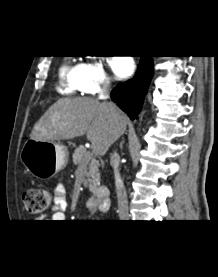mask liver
Returning a JSON list of instances; mask_svg holds the SVG:
<instances>
[{
    "mask_svg": "<svg viewBox=\"0 0 218 277\" xmlns=\"http://www.w3.org/2000/svg\"><path fill=\"white\" fill-rule=\"evenodd\" d=\"M127 117L93 98L60 99L34 125L30 139L55 142L86 134L97 155H104L126 130Z\"/></svg>",
    "mask_w": 218,
    "mask_h": 277,
    "instance_id": "obj_1",
    "label": "liver"
}]
</instances>
